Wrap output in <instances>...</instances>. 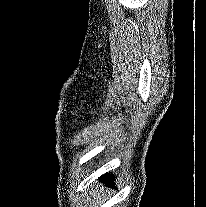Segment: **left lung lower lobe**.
<instances>
[{
  "mask_svg": "<svg viewBox=\"0 0 206 207\" xmlns=\"http://www.w3.org/2000/svg\"><path fill=\"white\" fill-rule=\"evenodd\" d=\"M104 177V176H103ZM104 182L108 185V186H111L113 187V177L110 175V174H106L105 178H104Z\"/></svg>",
  "mask_w": 206,
  "mask_h": 207,
  "instance_id": "left-lung-lower-lobe-1",
  "label": "left lung lower lobe"
}]
</instances>
